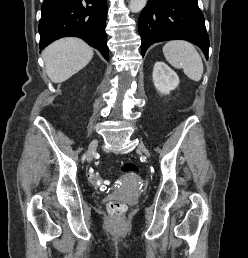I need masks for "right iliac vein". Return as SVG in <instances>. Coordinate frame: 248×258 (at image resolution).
<instances>
[{
  "instance_id": "63e3f726",
  "label": "right iliac vein",
  "mask_w": 248,
  "mask_h": 258,
  "mask_svg": "<svg viewBox=\"0 0 248 258\" xmlns=\"http://www.w3.org/2000/svg\"><path fill=\"white\" fill-rule=\"evenodd\" d=\"M98 146V140L93 139L88 148L87 162L90 163L93 160L94 153Z\"/></svg>"
}]
</instances>
